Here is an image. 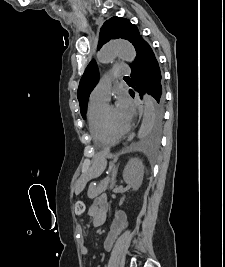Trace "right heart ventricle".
Wrapping results in <instances>:
<instances>
[{
	"instance_id": "1",
	"label": "right heart ventricle",
	"mask_w": 225,
	"mask_h": 267,
	"mask_svg": "<svg viewBox=\"0 0 225 267\" xmlns=\"http://www.w3.org/2000/svg\"><path fill=\"white\" fill-rule=\"evenodd\" d=\"M106 107V102L91 100L88 104V126L94 142L99 146H110L116 140L109 136L102 126V112Z\"/></svg>"
}]
</instances>
